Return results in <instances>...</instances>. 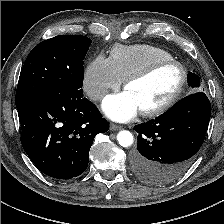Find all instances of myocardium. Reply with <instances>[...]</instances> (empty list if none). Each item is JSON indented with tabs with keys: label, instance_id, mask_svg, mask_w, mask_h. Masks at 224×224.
I'll return each instance as SVG.
<instances>
[{
	"label": "myocardium",
	"instance_id": "obj_1",
	"mask_svg": "<svg viewBox=\"0 0 224 224\" xmlns=\"http://www.w3.org/2000/svg\"><path fill=\"white\" fill-rule=\"evenodd\" d=\"M167 66H175L179 69L180 79H179L178 85L173 91V93L170 95V97L167 100H165L163 103L150 109L141 110L140 113L145 117H153V116L160 115L166 112L168 109H170L179 100L188 80L187 68L181 62L175 59L158 60L153 62L152 64H150L148 67L144 68L143 70L130 75L124 80L123 87L126 90L130 84L147 79L159 69L167 67Z\"/></svg>",
	"mask_w": 224,
	"mask_h": 224
}]
</instances>
